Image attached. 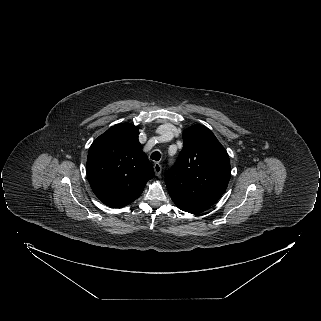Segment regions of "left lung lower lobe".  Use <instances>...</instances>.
<instances>
[{
  "instance_id": "obj_1",
  "label": "left lung lower lobe",
  "mask_w": 321,
  "mask_h": 321,
  "mask_svg": "<svg viewBox=\"0 0 321 321\" xmlns=\"http://www.w3.org/2000/svg\"><path fill=\"white\" fill-rule=\"evenodd\" d=\"M174 203L181 210H183L185 212L192 213V214L201 213V212H203V211H205L207 209V208L200 207V206L181 204V203H177V202H174Z\"/></svg>"
}]
</instances>
